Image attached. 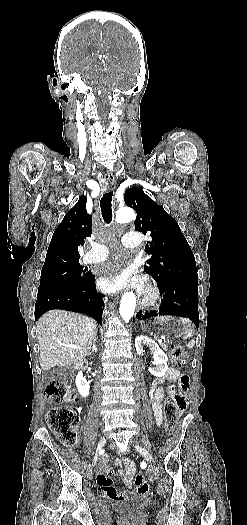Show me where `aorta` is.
<instances>
[{
  "label": "aorta",
  "mask_w": 247,
  "mask_h": 525,
  "mask_svg": "<svg viewBox=\"0 0 247 525\" xmlns=\"http://www.w3.org/2000/svg\"><path fill=\"white\" fill-rule=\"evenodd\" d=\"M136 215L130 208H121L117 210L115 220L117 223H126L133 221ZM136 305V297L133 291L126 292L120 303L119 313L125 322L132 318Z\"/></svg>",
  "instance_id": "762f6f07"
}]
</instances>
